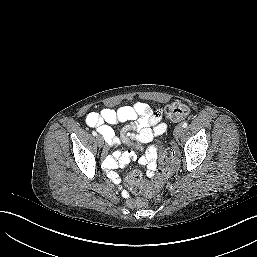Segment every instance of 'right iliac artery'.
I'll list each match as a JSON object with an SVG mask.
<instances>
[{
  "instance_id": "82829eb1",
  "label": "right iliac artery",
  "mask_w": 257,
  "mask_h": 257,
  "mask_svg": "<svg viewBox=\"0 0 257 257\" xmlns=\"http://www.w3.org/2000/svg\"><path fill=\"white\" fill-rule=\"evenodd\" d=\"M93 136H97V133L95 131H92Z\"/></svg>"
}]
</instances>
